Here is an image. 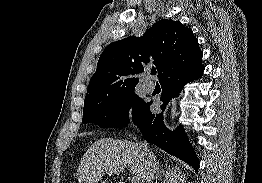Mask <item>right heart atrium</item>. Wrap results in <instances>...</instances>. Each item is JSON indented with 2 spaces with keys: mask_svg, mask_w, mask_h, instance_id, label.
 <instances>
[{
  "mask_svg": "<svg viewBox=\"0 0 262 183\" xmlns=\"http://www.w3.org/2000/svg\"><path fill=\"white\" fill-rule=\"evenodd\" d=\"M114 116L119 120H127L130 118V111L126 106H120L114 111Z\"/></svg>",
  "mask_w": 262,
  "mask_h": 183,
  "instance_id": "right-heart-atrium-1",
  "label": "right heart atrium"
}]
</instances>
